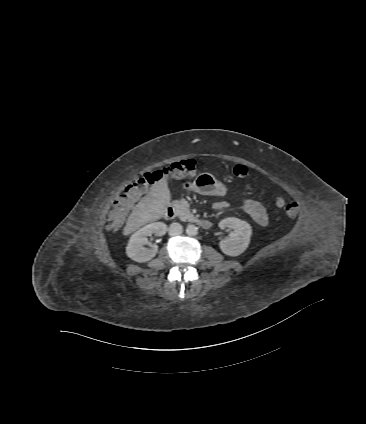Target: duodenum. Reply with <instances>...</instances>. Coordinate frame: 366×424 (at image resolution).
Masks as SVG:
<instances>
[{"mask_svg":"<svg viewBox=\"0 0 366 424\" xmlns=\"http://www.w3.org/2000/svg\"><path fill=\"white\" fill-rule=\"evenodd\" d=\"M164 216L166 219H173L176 217V208L174 205L170 204L166 207ZM197 224L203 229H209L211 227V222L206 219L197 220Z\"/></svg>","mask_w":366,"mask_h":424,"instance_id":"1","label":"duodenum"}]
</instances>
